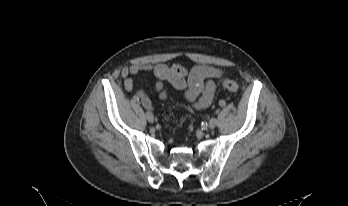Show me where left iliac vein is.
Returning <instances> with one entry per match:
<instances>
[{"instance_id":"1","label":"left iliac vein","mask_w":348,"mask_h":206,"mask_svg":"<svg viewBox=\"0 0 348 206\" xmlns=\"http://www.w3.org/2000/svg\"><path fill=\"white\" fill-rule=\"evenodd\" d=\"M217 125V119L216 118H211L209 123H208V127L209 129H214Z\"/></svg>"}]
</instances>
